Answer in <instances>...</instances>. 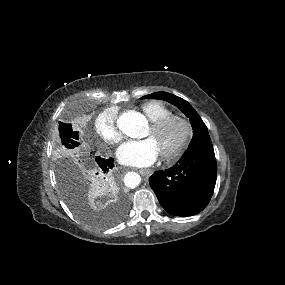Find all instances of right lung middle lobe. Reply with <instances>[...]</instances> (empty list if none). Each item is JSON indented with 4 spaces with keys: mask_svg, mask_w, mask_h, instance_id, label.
<instances>
[{
    "mask_svg": "<svg viewBox=\"0 0 285 285\" xmlns=\"http://www.w3.org/2000/svg\"><path fill=\"white\" fill-rule=\"evenodd\" d=\"M80 145L78 132L71 124L59 122L57 176L61 192L70 209L81 219L96 227H109L120 220L123 211L110 220H100L91 214L87 205L88 188L92 182L101 181L102 174L95 157Z\"/></svg>",
    "mask_w": 285,
    "mask_h": 285,
    "instance_id": "obj_1",
    "label": "right lung middle lobe"
}]
</instances>
